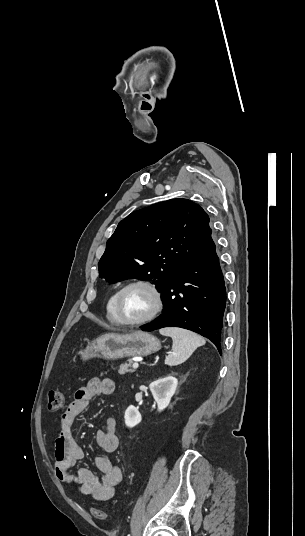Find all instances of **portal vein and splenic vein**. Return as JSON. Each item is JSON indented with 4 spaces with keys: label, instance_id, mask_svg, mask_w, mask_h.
Instances as JSON below:
<instances>
[{
    "label": "portal vein and splenic vein",
    "instance_id": "obj_1",
    "mask_svg": "<svg viewBox=\"0 0 305 536\" xmlns=\"http://www.w3.org/2000/svg\"><path fill=\"white\" fill-rule=\"evenodd\" d=\"M132 368L133 370H136V368H139V364H133Z\"/></svg>",
    "mask_w": 305,
    "mask_h": 536
}]
</instances>
